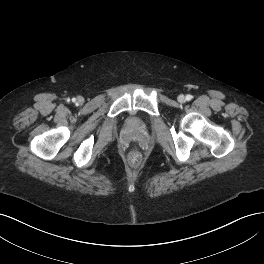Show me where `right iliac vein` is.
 Instances as JSON below:
<instances>
[{
  "instance_id": "right-iliac-vein-1",
  "label": "right iliac vein",
  "mask_w": 264,
  "mask_h": 264,
  "mask_svg": "<svg viewBox=\"0 0 264 264\" xmlns=\"http://www.w3.org/2000/svg\"><path fill=\"white\" fill-rule=\"evenodd\" d=\"M83 100H84V99H83L82 97H78V98H77V102H78V103H82Z\"/></svg>"
}]
</instances>
